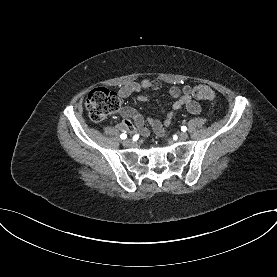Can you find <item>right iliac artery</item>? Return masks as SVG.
<instances>
[{"mask_svg":"<svg viewBox=\"0 0 277 277\" xmlns=\"http://www.w3.org/2000/svg\"><path fill=\"white\" fill-rule=\"evenodd\" d=\"M120 137H121V139H126V138H127V135L123 133V134H121Z\"/></svg>","mask_w":277,"mask_h":277,"instance_id":"82829eb1","label":"right iliac artery"}]
</instances>
